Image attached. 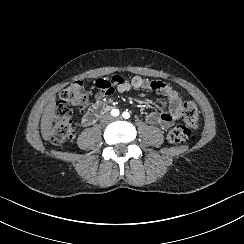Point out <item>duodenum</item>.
Returning a JSON list of instances; mask_svg holds the SVG:
<instances>
[{"label": "duodenum", "mask_w": 244, "mask_h": 244, "mask_svg": "<svg viewBox=\"0 0 244 244\" xmlns=\"http://www.w3.org/2000/svg\"><path fill=\"white\" fill-rule=\"evenodd\" d=\"M112 109V105L104 103L102 101L95 103L89 110L90 122L93 123L98 120L105 113L109 112Z\"/></svg>", "instance_id": "1"}]
</instances>
